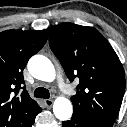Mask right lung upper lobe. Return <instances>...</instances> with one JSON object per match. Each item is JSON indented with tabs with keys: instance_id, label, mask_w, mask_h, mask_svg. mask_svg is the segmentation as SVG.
<instances>
[{
	"instance_id": "cb5924a9",
	"label": "right lung upper lobe",
	"mask_w": 127,
	"mask_h": 127,
	"mask_svg": "<svg viewBox=\"0 0 127 127\" xmlns=\"http://www.w3.org/2000/svg\"><path fill=\"white\" fill-rule=\"evenodd\" d=\"M47 40V30H8L0 33V127H31L41 112L37 102L24 90L23 69L28 59ZM15 96L12 97L11 93Z\"/></svg>"
}]
</instances>
